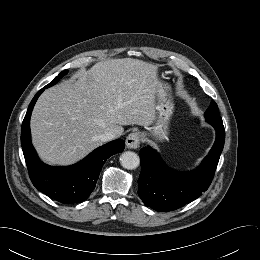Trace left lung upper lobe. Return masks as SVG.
Wrapping results in <instances>:
<instances>
[{"instance_id": "obj_1", "label": "left lung upper lobe", "mask_w": 260, "mask_h": 260, "mask_svg": "<svg viewBox=\"0 0 260 260\" xmlns=\"http://www.w3.org/2000/svg\"><path fill=\"white\" fill-rule=\"evenodd\" d=\"M205 117L207 122L223 123L215 102H211L210 107L205 112Z\"/></svg>"}]
</instances>
